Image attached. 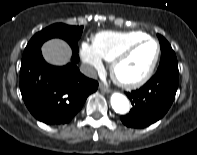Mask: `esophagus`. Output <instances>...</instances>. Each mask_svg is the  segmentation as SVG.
<instances>
[{"label": "esophagus", "instance_id": "34e87169", "mask_svg": "<svg viewBox=\"0 0 197 155\" xmlns=\"http://www.w3.org/2000/svg\"><path fill=\"white\" fill-rule=\"evenodd\" d=\"M99 88H100L101 91H103L105 93H109L110 92V89L107 86H105L103 83L99 84Z\"/></svg>", "mask_w": 197, "mask_h": 155}]
</instances>
